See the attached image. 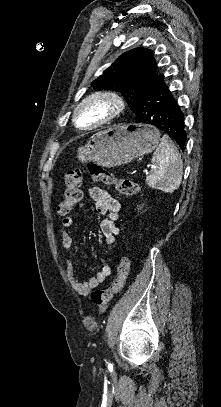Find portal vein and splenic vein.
I'll return each mask as SVG.
<instances>
[{"label": "portal vein and splenic vein", "instance_id": "18ae733b", "mask_svg": "<svg viewBox=\"0 0 221 407\" xmlns=\"http://www.w3.org/2000/svg\"><path fill=\"white\" fill-rule=\"evenodd\" d=\"M143 173H144V174H148V169H144V170H143Z\"/></svg>", "mask_w": 221, "mask_h": 407}]
</instances>
